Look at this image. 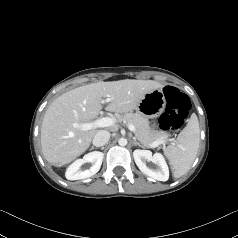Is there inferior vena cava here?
<instances>
[{
	"mask_svg": "<svg viewBox=\"0 0 238 238\" xmlns=\"http://www.w3.org/2000/svg\"><path fill=\"white\" fill-rule=\"evenodd\" d=\"M110 139V133L106 130H100L96 133L93 138V145L96 147H101L105 145Z\"/></svg>",
	"mask_w": 238,
	"mask_h": 238,
	"instance_id": "602c4592",
	"label": "inferior vena cava"
}]
</instances>
